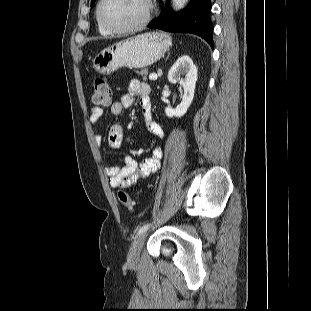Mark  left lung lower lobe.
<instances>
[{
  "label": "left lung lower lobe",
  "instance_id": "obj_1",
  "mask_svg": "<svg viewBox=\"0 0 311 311\" xmlns=\"http://www.w3.org/2000/svg\"><path fill=\"white\" fill-rule=\"evenodd\" d=\"M210 12V0H191L190 4L177 14L171 11L167 0L160 16L153 19L148 26L168 32L196 34L213 47Z\"/></svg>",
  "mask_w": 311,
  "mask_h": 311
}]
</instances>
